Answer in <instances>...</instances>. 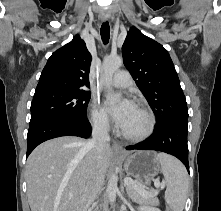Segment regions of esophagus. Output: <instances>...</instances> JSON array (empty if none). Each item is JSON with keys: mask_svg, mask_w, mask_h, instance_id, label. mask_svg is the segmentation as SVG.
<instances>
[{"mask_svg": "<svg viewBox=\"0 0 221 211\" xmlns=\"http://www.w3.org/2000/svg\"><path fill=\"white\" fill-rule=\"evenodd\" d=\"M109 18H110V14H109L107 11H105V12L102 13L101 19H102L103 21H107ZM112 149H113V151H114L115 153H117V154H122V153H123V148H122V146H121L120 144L116 143V142H114V143L112 144Z\"/></svg>", "mask_w": 221, "mask_h": 211, "instance_id": "esophagus-1", "label": "esophagus"}]
</instances>
